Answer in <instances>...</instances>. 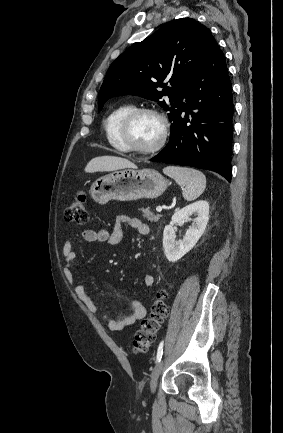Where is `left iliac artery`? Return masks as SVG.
<instances>
[{"label":"left iliac artery","mask_w":283,"mask_h":433,"mask_svg":"<svg viewBox=\"0 0 283 433\" xmlns=\"http://www.w3.org/2000/svg\"><path fill=\"white\" fill-rule=\"evenodd\" d=\"M163 345H164V342L162 341L159 344V347H158V350H157L156 362H160L161 361V358H162V355H163Z\"/></svg>","instance_id":"44dca946"}]
</instances>
